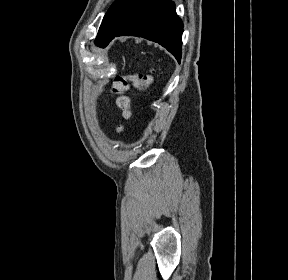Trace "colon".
I'll return each instance as SVG.
<instances>
[{
  "instance_id": "colon-1",
  "label": "colon",
  "mask_w": 288,
  "mask_h": 280,
  "mask_svg": "<svg viewBox=\"0 0 288 280\" xmlns=\"http://www.w3.org/2000/svg\"><path fill=\"white\" fill-rule=\"evenodd\" d=\"M129 83H132L136 88L140 90L148 89L153 83V77L151 75H120L116 76L112 82V93L117 96V106L122 110L124 119L129 120L133 116L131 108V98L127 95ZM122 130V127H119Z\"/></svg>"
}]
</instances>
